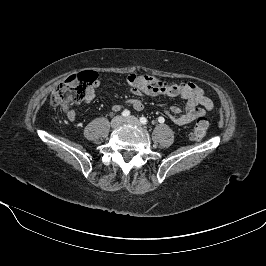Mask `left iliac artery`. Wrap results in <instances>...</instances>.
I'll use <instances>...</instances> for the list:
<instances>
[{"label":"left iliac artery","instance_id":"obj_1","mask_svg":"<svg viewBox=\"0 0 266 266\" xmlns=\"http://www.w3.org/2000/svg\"><path fill=\"white\" fill-rule=\"evenodd\" d=\"M140 122L145 125V124H147L148 121H147V119L145 117L142 116L140 118Z\"/></svg>","mask_w":266,"mask_h":266}]
</instances>
